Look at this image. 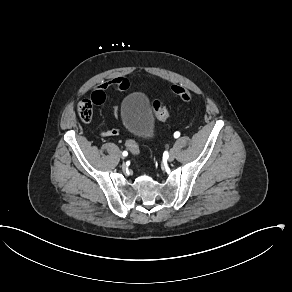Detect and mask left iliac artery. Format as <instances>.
<instances>
[{"label": "left iliac artery", "instance_id": "44dca946", "mask_svg": "<svg viewBox=\"0 0 292 292\" xmlns=\"http://www.w3.org/2000/svg\"><path fill=\"white\" fill-rule=\"evenodd\" d=\"M180 136V133L179 132H176L175 134H174V137L175 138H178Z\"/></svg>", "mask_w": 292, "mask_h": 292}]
</instances>
